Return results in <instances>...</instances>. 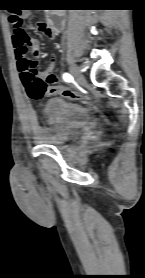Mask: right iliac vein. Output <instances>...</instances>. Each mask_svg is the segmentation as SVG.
<instances>
[{
    "label": "right iliac vein",
    "instance_id": "1",
    "mask_svg": "<svg viewBox=\"0 0 145 278\" xmlns=\"http://www.w3.org/2000/svg\"><path fill=\"white\" fill-rule=\"evenodd\" d=\"M70 73L76 81H78L81 84L85 83L86 79L84 75L80 72V70L75 65H71Z\"/></svg>",
    "mask_w": 145,
    "mask_h": 278
}]
</instances>
